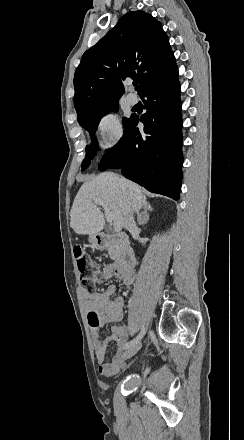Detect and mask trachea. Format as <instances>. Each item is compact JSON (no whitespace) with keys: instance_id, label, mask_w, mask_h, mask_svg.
I'll list each match as a JSON object with an SVG mask.
<instances>
[{"instance_id":"obj_1","label":"trachea","mask_w":244,"mask_h":440,"mask_svg":"<svg viewBox=\"0 0 244 440\" xmlns=\"http://www.w3.org/2000/svg\"><path fill=\"white\" fill-rule=\"evenodd\" d=\"M133 85H138V80H133Z\"/></svg>"}]
</instances>
